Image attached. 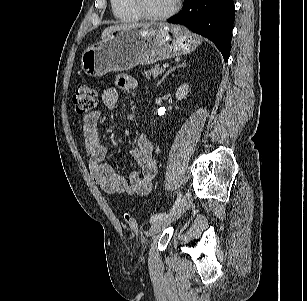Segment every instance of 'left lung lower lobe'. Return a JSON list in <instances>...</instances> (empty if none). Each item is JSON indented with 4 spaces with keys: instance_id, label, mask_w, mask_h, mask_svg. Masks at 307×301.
<instances>
[{
    "instance_id": "left-lung-lower-lobe-1",
    "label": "left lung lower lobe",
    "mask_w": 307,
    "mask_h": 301,
    "mask_svg": "<svg viewBox=\"0 0 307 301\" xmlns=\"http://www.w3.org/2000/svg\"><path fill=\"white\" fill-rule=\"evenodd\" d=\"M234 9L233 0H184L181 12L168 22L184 25L210 39L227 61L231 50Z\"/></svg>"
}]
</instances>
